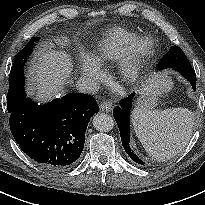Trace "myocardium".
Wrapping results in <instances>:
<instances>
[{
  "mask_svg": "<svg viewBox=\"0 0 205 205\" xmlns=\"http://www.w3.org/2000/svg\"><path fill=\"white\" fill-rule=\"evenodd\" d=\"M150 49V37L144 35L139 37L133 44L130 55H124L118 59V66L122 80L135 82L141 76V59Z\"/></svg>",
  "mask_w": 205,
  "mask_h": 205,
  "instance_id": "f54148a6",
  "label": "myocardium"
}]
</instances>
